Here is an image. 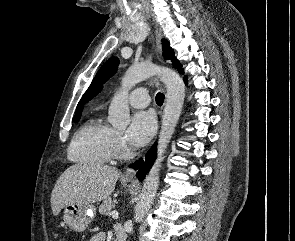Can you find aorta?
I'll return each instance as SVG.
<instances>
[{"mask_svg":"<svg viewBox=\"0 0 295 241\" xmlns=\"http://www.w3.org/2000/svg\"><path fill=\"white\" fill-rule=\"evenodd\" d=\"M158 76L166 86V105L164 108L157 158L146 175L143 188L135 206V219L141 220L153 204L159 185V174L164 154L174 134L181 115L185 98V85L173 70L154 64L142 63L130 66L121 80V90L113 97L108 110V122L117 129L124 130L130 122L127 101L129 90L146 78Z\"/></svg>","mask_w":295,"mask_h":241,"instance_id":"aorta-1","label":"aorta"}]
</instances>
